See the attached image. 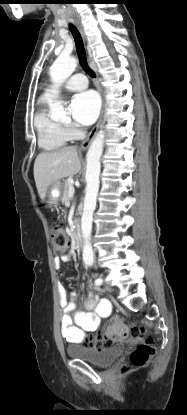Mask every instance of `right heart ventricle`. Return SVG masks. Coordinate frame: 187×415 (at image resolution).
Masks as SVG:
<instances>
[{
    "instance_id": "e07e8e85",
    "label": "right heart ventricle",
    "mask_w": 187,
    "mask_h": 415,
    "mask_svg": "<svg viewBox=\"0 0 187 415\" xmlns=\"http://www.w3.org/2000/svg\"><path fill=\"white\" fill-rule=\"evenodd\" d=\"M46 103L47 98L44 97L34 117L38 144L44 150H57L65 146L71 137L62 124L50 118L45 107Z\"/></svg>"
}]
</instances>
